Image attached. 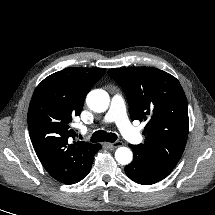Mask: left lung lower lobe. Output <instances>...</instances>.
<instances>
[{"instance_id":"left-lung-lower-lobe-1","label":"left lung lower lobe","mask_w":215,"mask_h":215,"mask_svg":"<svg viewBox=\"0 0 215 215\" xmlns=\"http://www.w3.org/2000/svg\"><path fill=\"white\" fill-rule=\"evenodd\" d=\"M134 153L132 163L125 167L126 175L136 183L151 185L167 177L172 170L150 161L144 152L134 145H130Z\"/></svg>"}]
</instances>
